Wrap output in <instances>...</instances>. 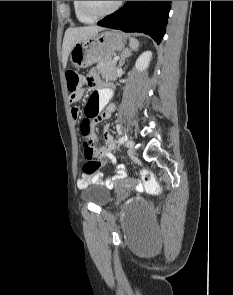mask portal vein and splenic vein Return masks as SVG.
Returning a JSON list of instances; mask_svg holds the SVG:
<instances>
[{
	"label": "portal vein and splenic vein",
	"mask_w": 233,
	"mask_h": 295,
	"mask_svg": "<svg viewBox=\"0 0 233 295\" xmlns=\"http://www.w3.org/2000/svg\"><path fill=\"white\" fill-rule=\"evenodd\" d=\"M119 59V57H114V60L117 61Z\"/></svg>",
	"instance_id": "portal-vein-and-splenic-vein-1"
}]
</instances>
